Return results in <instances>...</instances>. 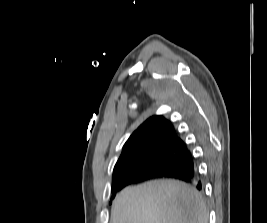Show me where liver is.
I'll list each match as a JSON object with an SVG mask.
<instances>
[{
  "mask_svg": "<svg viewBox=\"0 0 267 223\" xmlns=\"http://www.w3.org/2000/svg\"><path fill=\"white\" fill-rule=\"evenodd\" d=\"M110 223H208L202 196L176 180H155L122 190Z\"/></svg>",
  "mask_w": 267,
  "mask_h": 223,
  "instance_id": "1",
  "label": "liver"
}]
</instances>
